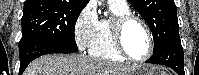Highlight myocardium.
Listing matches in <instances>:
<instances>
[{
	"label": "myocardium",
	"mask_w": 199,
	"mask_h": 75,
	"mask_svg": "<svg viewBox=\"0 0 199 75\" xmlns=\"http://www.w3.org/2000/svg\"><path fill=\"white\" fill-rule=\"evenodd\" d=\"M131 22L139 23L143 27L148 38V51L143 57L138 59L133 58L127 52L123 40L125 28ZM110 29L116 49L126 60L131 62L141 63L147 61L150 58L154 50V39L148 24L142 18L134 14H126L118 16L112 21Z\"/></svg>",
	"instance_id": "f54148a6"
}]
</instances>
